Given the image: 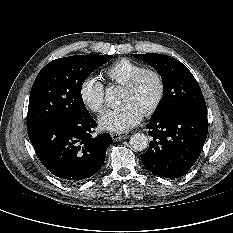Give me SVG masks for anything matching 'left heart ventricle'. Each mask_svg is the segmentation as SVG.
<instances>
[{
	"label": "left heart ventricle",
	"mask_w": 233,
	"mask_h": 233,
	"mask_svg": "<svg viewBox=\"0 0 233 233\" xmlns=\"http://www.w3.org/2000/svg\"><path fill=\"white\" fill-rule=\"evenodd\" d=\"M157 91V81L153 77H148L143 80L137 89L132 91L124 90L122 105L130 103L143 113L156 97Z\"/></svg>",
	"instance_id": "1"
}]
</instances>
